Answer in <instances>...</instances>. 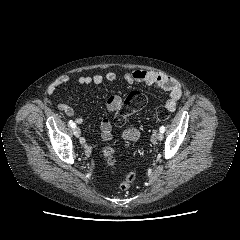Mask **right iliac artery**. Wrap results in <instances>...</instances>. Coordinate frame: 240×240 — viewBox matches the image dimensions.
I'll list each match as a JSON object with an SVG mask.
<instances>
[{"mask_svg": "<svg viewBox=\"0 0 240 240\" xmlns=\"http://www.w3.org/2000/svg\"><path fill=\"white\" fill-rule=\"evenodd\" d=\"M68 124H69V126L72 127V128H75V127H76V124H75L72 120H70V121L68 122Z\"/></svg>", "mask_w": 240, "mask_h": 240, "instance_id": "obj_1", "label": "right iliac artery"}]
</instances>
